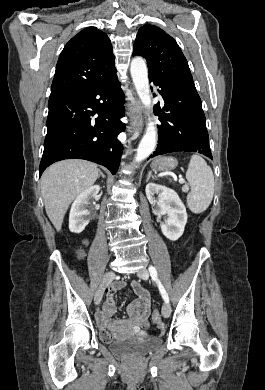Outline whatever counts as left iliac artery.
Here are the masks:
<instances>
[{
    "label": "left iliac artery",
    "mask_w": 265,
    "mask_h": 390,
    "mask_svg": "<svg viewBox=\"0 0 265 390\" xmlns=\"http://www.w3.org/2000/svg\"><path fill=\"white\" fill-rule=\"evenodd\" d=\"M149 272H150V275H151L152 279L154 281H156V283L158 284V287H159V290H160V293H161L163 299L165 300V302H169L168 294H167L165 288L163 287L162 283L158 279V275H157V271H156L155 267L154 266H150L149 267Z\"/></svg>",
    "instance_id": "1"
}]
</instances>
